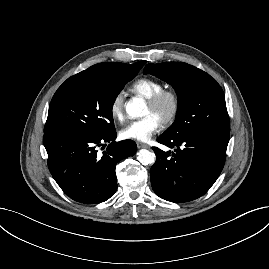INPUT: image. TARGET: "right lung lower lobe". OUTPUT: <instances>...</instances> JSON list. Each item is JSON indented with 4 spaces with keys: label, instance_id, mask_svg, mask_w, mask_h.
Segmentation results:
<instances>
[{
    "label": "right lung lower lobe",
    "instance_id": "98d812e1",
    "mask_svg": "<svg viewBox=\"0 0 269 269\" xmlns=\"http://www.w3.org/2000/svg\"><path fill=\"white\" fill-rule=\"evenodd\" d=\"M116 136V131L103 136L68 130L44 134L49 170L68 197L97 204L116 192L117 162L136 153L134 141L115 142ZM104 142L110 144L101 155L98 147Z\"/></svg>",
    "mask_w": 269,
    "mask_h": 269
}]
</instances>
